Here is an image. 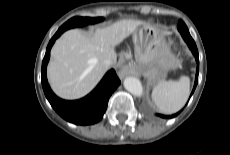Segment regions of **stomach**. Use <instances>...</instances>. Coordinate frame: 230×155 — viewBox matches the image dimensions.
<instances>
[{"label":"stomach","mask_w":230,"mask_h":155,"mask_svg":"<svg viewBox=\"0 0 230 155\" xmlns=\"http://www.w3.org/2000/svg\"><path fill=\"white\" fill-rule=\"evenodd\" d=\"M167 35V28L150 23H143L133 33L137 60L143 64L154 63L156 66L155 72L149 75L151 86H156L168 69L180 65V59L170 51Z\"/></svg>","instance_id":"stomach-1"}]
</instances>
